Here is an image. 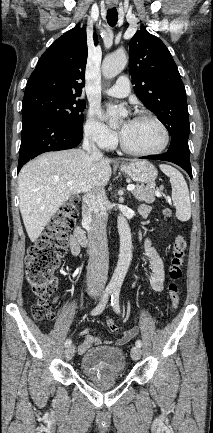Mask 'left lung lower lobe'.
<instances>
[{
	"mask_svg": "<svg viewBox=\"0 0 213 433\" xmlns=\"http://www.w3.org/2000/svg\"><path fill=\"white\" fill-rule=\"evenodd\" d=\"M141 159H154V160H162V161H169L172 163H175L182 167L192 178V169L189 159V152L178 149V148H171L168 149V151L161 155H155V156H144L141 157Z\"/></svg>",
	"mask_w": 213,
	"mask_h": 433,
	"instance_id": "0a47b994",
	"label": "left lung lower lobe"
}]
</instances>
